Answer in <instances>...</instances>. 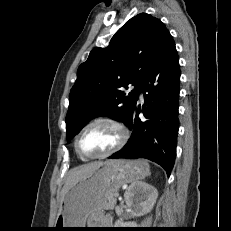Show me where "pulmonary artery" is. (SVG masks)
I'll list each match as a JSON object with an SVG mask.
<instances>
[{
    "label": "pulmonary artery",
    "mask_w": 231,
    "mask_h": 231,
    "mask_svg": "<svg viewBox=\"0 0 231 231\" xmlns=\"http://www.w3.org/2000/svg\"><path fill=\"white\" fill-rule=\"evenodd\" d=\"M140 98H141V99L143 98V94H142V93L140 94Z\"/></svg>",
    "instance_id": "pulmonary-artery-1"
}]
</instances>
